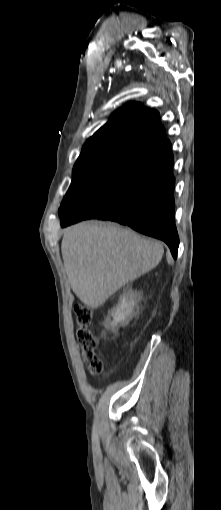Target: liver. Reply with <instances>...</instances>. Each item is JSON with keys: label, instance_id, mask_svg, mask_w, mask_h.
Segmentation results:
<instances>
[{"label": "liver", "instance_id": "6515ba94", "mask_svg": "<svg viewBox=\"0 0 221 510\" xmlns=\"http://www.w3.org/2000/svg\"><path fill=\"white\" fill-rule=\"evenodd\" d=\"M61 251L72 291L91 308L103 305L126 283L154 269L164 253L159 241L95 221L66 229Z\"/></svg>", "mask_w": 221, "mask_h": 510}]
</instances>
